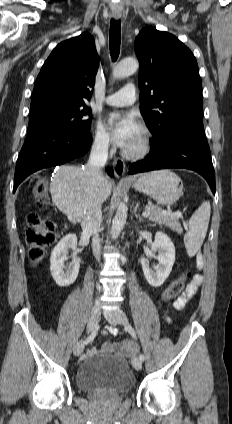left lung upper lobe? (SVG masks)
<instances>
[{"instance_id": "5c2ea615", "label": "left lung upper lobe", "mask_w": 232, "mask_h": 424, "mask_svg": "<svg viewBox=\"0 0 232 424\" xmlns=\"http://www.w3.org/2000/svg\"><path fill=\"white\" fill-rule=\"evenodd\" d=\"M135 52L140 111L154 139L178 119L202 117V83L189 48L170 33L146 27L136 37Z\"/></svg>"}]
</instances>
